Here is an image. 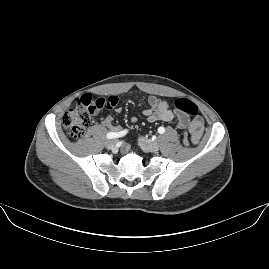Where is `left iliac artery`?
Segmentation results:
<instances>
[{"mask_svg":"<svg viewBox=\"0 0 269 269\" xmlns=\"http://www.w3.org/2000/svg\"><path fill=\"white\" fill-rule=\"evenodd\" d=\"M158 132H159L160 134H163V133L165 132V128H164V127H159V128H158Z\"/></svg>","mask_w":269,"mask_h":269,"instance_id":"left-iliac-artery-1","label":"left iliac artery"}]
</instances>
